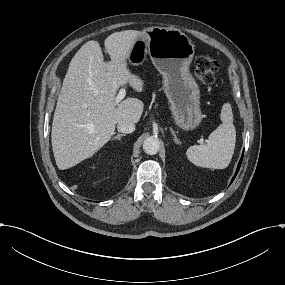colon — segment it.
Segmentation results:
<instances>
[{
  "mask_svg": "<svg viewBox=\"0 0 285 285\" xmlns=\"http://www.w3.org/2000/svg\"><path fill=\"white\" fill-rule=\"evenodd\" d=\"M218 62L209 56H200L195 62V76L203 85H211L215 80Z\"/></svg>",
  "mask_w": 285,
  "mask_h": 285,
  "instance_id": "obj_1",
  "label": "colon"
}]
</instances>
